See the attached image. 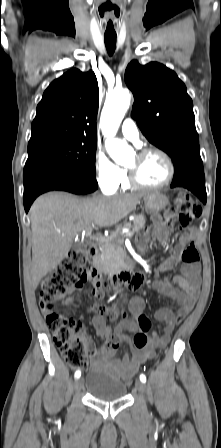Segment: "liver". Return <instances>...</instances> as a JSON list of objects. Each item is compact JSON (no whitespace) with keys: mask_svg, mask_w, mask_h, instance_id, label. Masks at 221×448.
Returning <instances> with one entry per match:
<instances>
[{"mask_svg":"<svg viewBox=\"0 0 221 448\" xmlns=\"http://www.w3.org/2000/svg\"><path fill=\"white\" fill-rule=\"evenodd\" d=\"M148 194L79 199L64 192H49L38 197L30 208L33 286L68 256L77 234L93 226L118 223Z\"/></svg>","mask_w":221,"mask_h":448,"instance_id":"6515ba94","label":"liver"}]
</instances>
